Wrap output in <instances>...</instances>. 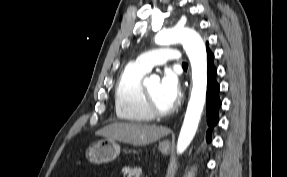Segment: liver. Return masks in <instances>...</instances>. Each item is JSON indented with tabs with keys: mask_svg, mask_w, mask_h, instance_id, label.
<instances>
[{
	"mask_svg": "<svg viewBox=\"0 0 287 177\" xmlns=\"http://www.w3.org/2000/svg\"><path fill=\"white\" fill-rule=\"evenodd\" d=\"M169 133V129L140 123H112L96 132L110 140H117L134 146L151 144Z\"/></svg>",
	"mask_w": 287,
	"mask_h": 177,
	"instance_id": "1",
	"label": "liver"
}]
</instances>
